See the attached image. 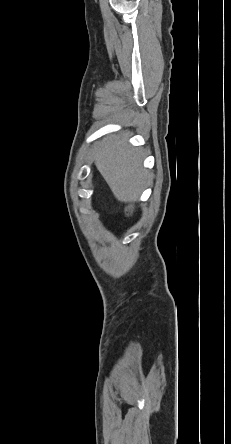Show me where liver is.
Instances as JSON below:
<instances>
[{
	"instance_id": "obj_1",
	"label": "liver",
	"mask_w": 231,
	"mask_h": 444,
	"mask_svg": "<svg viewBox=\"0 0 231 444\" xmlns=\"http://www.w3.org/2000/svg\"><path fill=\"white\" fill-rule=\"evenodd\" d=\"M128 134L112 135L95 146L94 161L118 201L138 199L151 177L142 167V151L127 144Z\"/></svg>"
}]
</instances>
